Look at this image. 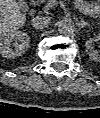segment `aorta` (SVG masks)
Segmentation results:
<instances>
[{
	"label": "aorta",
	"instance_id": "obj_1",
	"mask_svg": "<svg viewBox=\"0 0 100 118\" xmlns=\"http://www.w3.org/2000/svg\"><path fill=\"white\" fill-rule=\"evenodd\" d=\"M75 30V24L70 18H64L58 22V31L63 35H70Z\"/></svg>",
	"mask_w": 100,
	"mask_h": 118
}]
</instances>
